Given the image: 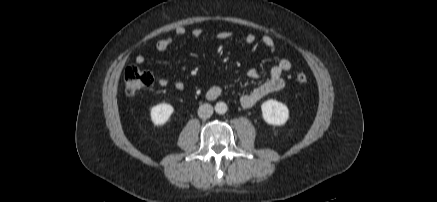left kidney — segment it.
<instances>
[{
    "label": "left kidney",
    "mask_w": 437,
    "mask_h": 202,
    "mask_svg": "<svg viewBox=\"0 0 437 202\" xmlns=\"http://www.w3.org/2000/svg\"><path fill=\"white\" fill-rule=\"evenodd\" d=\"M261 110L263 119L270 125H283L286 123L289 117V110L287 106L273 99L262 103Z\"/></svg>",
    "instance_id": "1"
}]
</instances>
